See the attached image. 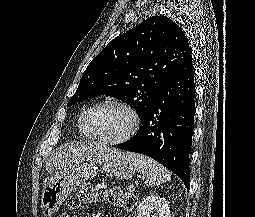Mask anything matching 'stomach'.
I'll return each instance as SVG.
<instances>
[{
  "instance_id": "0dacf381",
  "label": "stomach",
  "mask_w": 255,
  "mask_h": 217,
  "mask_svg": "<svg viewBox=\"0 0 255 217\" xmlns=\"http://www.w3.org/2000/svg\"><path fill=\"white\" fill-rule=\"evenodd\" d=\"M97 164L102 166V172L117 179H129L136 170L127 154L117 149H109L87 163H73L54 173L45 184L41 195L44 216L55 215L68 195L95 175Z\"/></svg>"
}]
</instances>
